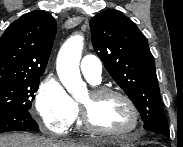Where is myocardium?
<instances>
[{
	"mask_svg": "<svg viewBox=\"0 0 183 147\" xmlns=\"http://www.w3.org/2000/svg\"><path fill=\"white\" fill-rule=\"evenodd\" d=\"M90 95L92 96L93 99H99L106 96L120 97L128 105L132 113L134 123H133V126L126 131H115V130L101 128L93 121L90 107L83 103H80L81 121L87 131L97 135L123 137V136L133 135L139 130L141 126L140 114L135 103L127 94L117 89L108 88V87H99V88L92 89L90 91Z\"/></svg>",
	"mask_w": 183,
	"mask_h": 147,
	"instance_id": "1",
	"label": "myocardium"
}]
</instances>
